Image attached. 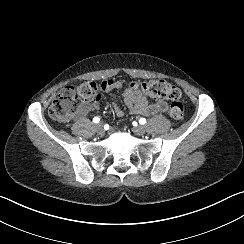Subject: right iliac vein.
<instances>
[{"instance_id": "right-iliac-vein-1", "label": "right iliac vein", "mask_w": 244, "mask_h": 244, "mask_svg": "<svg viewBox=\"0 0 244 244\" xmlns=\"http://www.w3.org/2000/svg\"><path fill=\"white\" fill-rule=\"evenodd\" d=\"M95 129H96L97 133H99L100 135H103L105 133L102 123L96 124Z\"/></svg>"}]
</instances>
